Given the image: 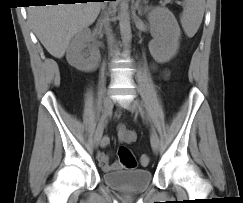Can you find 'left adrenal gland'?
I'll return each instance as SVG.
<instances>
[{
	"mask_svg": "<svg viewBox=\"0 0 243 203\" xmlns=\"http://www.w3.org/2000/svg\"><path fill=\"white\" fill-rule=\"evenodd\" d=\"M134 9L138 11V15L142 16L143 15V9L142 6L139 5L138 2L135 3Z\"/></svg>",
	"mask_w": 243,
	"mask_h": 203,
	"instance_id": "a2214340",
	"label": "left adrenal gland"
}]
</instances>
